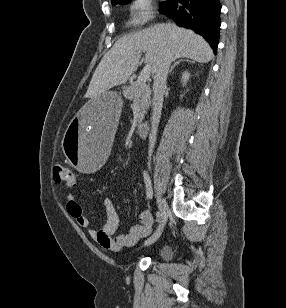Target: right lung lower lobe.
<instances>
[{
	"label": "right lung lower lobe",
	"mask_w": 286,
	"mask_h": 308,
	"mask_svg": "<svg viewBox=\"0 0 286 308\" xmlns=\"http://www.w3.org/2000/svg\"><path fill=\"white\" fill-rule=\"evenodd\" d=\"M220 10L219 0H168L160 7V11L177 25L202 35L214 53L219 41Z\"/></svg>",
	"instance_id": "obj_1"
}]
</instances>
